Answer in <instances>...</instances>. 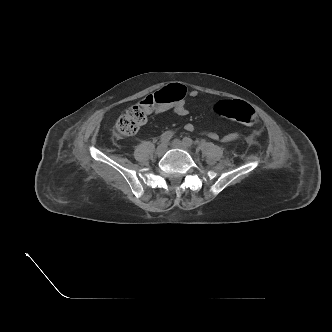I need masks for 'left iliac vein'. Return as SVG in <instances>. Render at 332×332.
<instances>
[{"mask_svg": "<svg viewBox=\"0 0 332 332\" xmlns=\"http://www.w3.org/2000/svg\"><path fill=\"white\" fill-rule=\"evenodd\" d=\"M171 144L174 148L189 151V146L179 139H174Z\"/></svg>", "mask_w": 332, "mask_h": 332, "instance_id": "4c4485c4", "label": "left iliac vein"}]
</instances>
